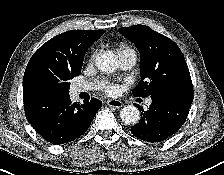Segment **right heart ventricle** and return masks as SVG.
Instances as JSON below:
<instances>
[{
  "instance_id": "e07e8e85",
  "label": "right heart ventricle",
  "mask_w": 224,
  "mask_h": 175,
  "mask_svg": "<svg viewBox=\"0 0 224 175\" xmlns=\"http://www.w3.org/2000/svg\"><path fill=\"white\" fill-rule=\"evenodd\" d=\"M124 49H129V48L122 46V47H120L119 51L124 50Z\"/></svg>"
}]
</instances>
